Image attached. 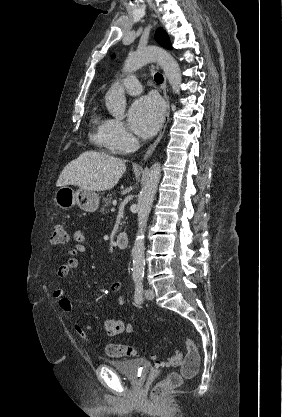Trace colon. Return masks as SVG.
<instances>
[{
	"label": "colon",
	"mask_w": 282,
	"mask_h": 417,
	"mask_svg": "<svg viewBox=\"0 0 282 417\" xmlns=\"http://www.w3.org/2000/svg\"><path fill=\"white\" fill-rule=\"evenodd\" d=\"M69 240L66 228L62 224H55L50 233V243L54 246H64ZM184 346L187 350V358L184 359L182 369L178 373L167 375L164 379H158L157 384H153L152 389L148 390L150 403H165V393H171L172 388H178L184 379L191 378L199 370L200 354L195 342L190 338L184 339ZM107 356H138V351L134 347H107L105 350ZM171 357L162 363L165 367H178L179 358L182 357V351L176 348Z\"/></svg>",
	"instance_id": "1"
}]
</instances>
